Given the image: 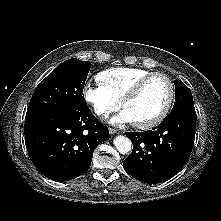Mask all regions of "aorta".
<instances>
[{
    "mask_svg": "<svg viewBox=\"0 0 221 221\" xmlns=\"http://www.w3.org/2000/svg\"><path fill=\"white\" fill-rule=\"evenodd\" d=\"M114 145L121 154H127L132 149L130 139L122 135H119L114 139Z\"/></svg>",
    "mask_w": 221,
    "mask_h": 221,
    "instance_id": "aorta-1",
    "label": "aorta"
}]
</instances>
